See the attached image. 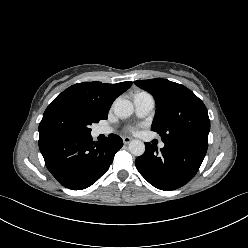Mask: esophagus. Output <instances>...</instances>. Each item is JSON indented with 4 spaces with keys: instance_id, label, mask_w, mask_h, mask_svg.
Listing matches in <instances>:
<instances>
[{
    "instance_id": "1",
    "label": "esophagus",
    "mask_w": 248,
    "mask_h": 248,
    "mask_svg": "<svg viewBox=\"0 0 248 248\" xmlns=\"http://www.w3.org/2000/svg\"><path fill=\"white\" fill-rule=\"evenodd\" d=\"M132 141L131 137L125 136L123 137V143L124 144H129Z\"/></svg>"
}]
</instances>
